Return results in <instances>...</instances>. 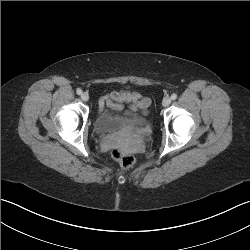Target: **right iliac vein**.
I'll list each match as a JSON object with an SVG mask.
<instances>
[{"label":"right iliac vein","mask_w":250,"mask_h":250,"mask_svg":"<svg viewBox=\"0 0 250 250\" xmlns=\"http://www.w3.org/2000/svg\"><path fill=\"white\" fill-rule=\"evenodd\" d=\"M81 99H82L83 101H88V100H89V95H88V93H86V92L82 93V94H81Z\"/></svg>","instance_id":"obj_1"}]
</instances>
